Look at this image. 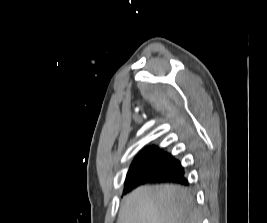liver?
I'll list each match as a JSON object with an SVG mask.
<instances>
[{
	"instance_id": "obj_1",
	"label": "liver",
	"mask_w": 267,
	"mask_h": 223,
	"mask_svg": "<svg viewBox=\"0 0 267 223\" xmlns=\"http://www.w3.org/2000/svg\"><path fill=\"white\" fill-rule=\"evenodd\" d=\"M117 223H201L186 188L177 185L140 187L128 194Z\"/></svg>"
}]
</instances>
